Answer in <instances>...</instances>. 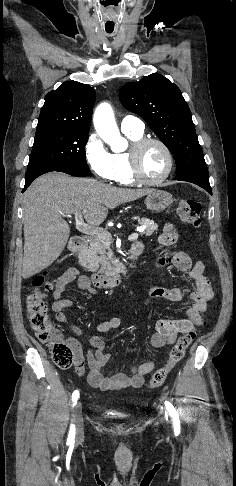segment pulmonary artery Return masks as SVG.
<instances>
[{
	"label": "pulmonary artery",
	"instance_id": "obj_1",
	"mask_svg": "<svg viewBox=\"0 0 236 486\" xmlns=\"http://www.w3.org/2000/svg\"><path fill=\"white\" fill-rule=\"evenodd\" d=\"M121 130L124 133H143L145 129L144 122L138 117L127 115L125 116L120 124Z\"/></svg>",
	"mask_w": 236,
	"mask_h": 486
}]
</instances>
